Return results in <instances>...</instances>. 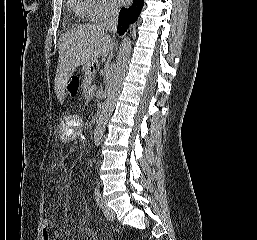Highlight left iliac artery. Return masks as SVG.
I'll return each instance as SVG.
<instances>
[{"instance_id":"obj_1","label":"left iliac artery","mask_w":257,"mask_h":240,"mask_svg":"<svg viewBox=\"0 0 257 240\" xmlns=\"http://www.w3.org/2000/svg\"><path fill=\"white\" fill-rule=\"evenodd\" d=\"M94 195H95V200H96L97 205L101 208L103 200H102L101 193L97 187L95 188Z\"/></svg>"}]
</instances>
